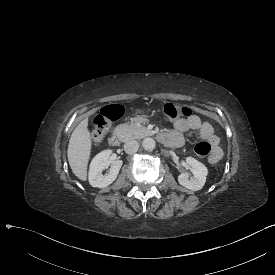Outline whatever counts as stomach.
<instances>
[{
	"label": "stomach",
	"instance_id": "1",
	"mask_svg": "<svg viewBox=\"0 0 275 275\" xmlns=\"http://www.w3.org/2000/svg\"><path fill=\"white\" fill-rule=\"evenodd\" d=\"M134 115L142 117V116H145L146 113H145V110L138 109L134 112Z\"/></svg>",
	"mask_w": 275,
	"mask_h": 275
}]
</instances>
